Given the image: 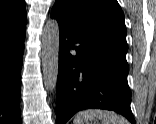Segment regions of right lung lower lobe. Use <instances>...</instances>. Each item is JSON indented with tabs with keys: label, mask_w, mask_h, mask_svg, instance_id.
I'll return each mask as SVG.
<instances>
[{
	"label": "right lung lower lobe",
	"mask_w": 156,
	"mask_h": 124,
	"mask_svg": "<svg viewBox=\"0 0 156 124\" xmlns=\"http://www.w3.org/2000/svg\"><path fill=\"white\" fill-rule=\"evenodd\" d=\"M26 27L0 31V124H21L20 85Z\"/></svg>",
	"instance_id": "98d812e1"
}]
</instances>
